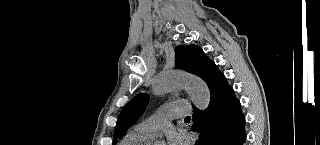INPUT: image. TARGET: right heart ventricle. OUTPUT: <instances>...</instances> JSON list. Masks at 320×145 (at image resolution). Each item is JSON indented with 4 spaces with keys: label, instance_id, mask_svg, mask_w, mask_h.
I'll list each match as a JSON object with an SVG mask.
<instances>
[{
    "label": "right heart ventricle",
    "instance_id": "e07e8e85",
    "mask_svg": "<svg viewBox=\"0 0 320 145\" xmlns=\"http://www.w3.org/2000/svg\"><path fill=\"white\" fill-rule=\"evenodd\" d=\"M151 138L137 132L135 129L128 132L120 142V145H148Z\"/></svg>",
    "mask_w": 320,
    "mask_h": 145
}]
</instances>
